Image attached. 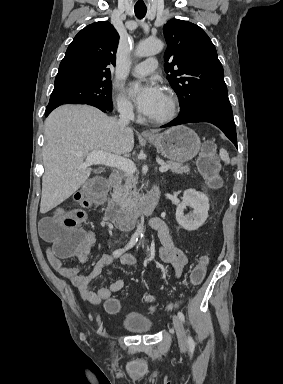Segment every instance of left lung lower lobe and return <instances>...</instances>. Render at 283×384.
I'll list each match as a JSON object with an SVG mask.
<instances>
[{"instance_id": "1", "label": "left lung lower lobe", "mask_w": 283, "mask_h": 384, "mask_svg": "<svg viewBox=\"0 0 283 384\" xmlns=\"http://www.w3.org/2000/svg\"><path fill=\"white\" fill-rule=\"evenodd\" d=\"M210 122L219 127L237 148V136L230 104L207 105L179 115L162 127L176 126L185 123Z\"/></svg>"}]
</instances>
